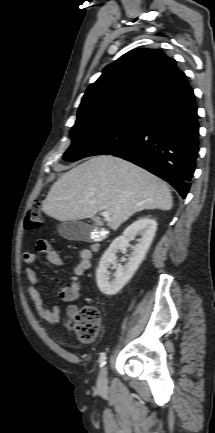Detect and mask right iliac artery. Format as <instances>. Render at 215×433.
<instances>
[{"label": "right iliac artery", "mask_w": 215, "mask_h": 433, "mask_svg": "<svg viewBox=\"0 0 215 433\" xmlns=\"http://www.w3.org/2000/svg\"><path fill=\"white\" fill-rule=\"evenodd\" d=\"M106 353H101L100 358H99V363H100V367H102L103 365H105L106 363Z\"/></svg>", "instance_id": "82829eb1"}]
</instances>
